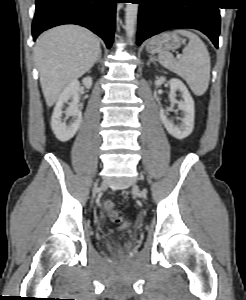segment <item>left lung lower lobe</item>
<instances>
[{"instance_id":"obj_1","label":"left lung lower lobe","mask_w":246,"mask_h":300,"mask_svg":"<svg viewBox=\"0 0 246 300\" xmlns=\"http://www.w3.org/2000/svg\"><path fill=\"white\" fill-rule=\"evenodd\" d=\"M140 4L137 44L162 31L193 28L218 48L220 13L216 0H135Z\"/></svg>"}]
</instances>
